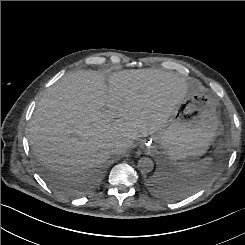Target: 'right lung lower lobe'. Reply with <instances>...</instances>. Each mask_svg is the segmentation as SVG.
Masks as SVG:
<instances>
[{
	"label": "right lung lower lobe",
	"instance_id": "obj_1",
	"mask_svg": "<svg viewBox=\"0 0 245 245\" xmlns=\"http://www.w3.org/2000/svg\"><path fill=\"white\" fill-rule=\"evenodd\" d=\"M48 181L50 185L56 190L64 192V193H70L69 190L55 177H49Z\"/></svg>",
	"mask_w": 245,
	"mask_h": 245
}]
</instances>
